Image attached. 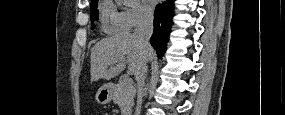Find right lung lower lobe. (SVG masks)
Returning a JSON list of instances; mask_svg holds the SVG:
<instances>
[{
  "label": "right lung lower lobe",
  "instance_id": "1",
  "mask_svg": "<svg viewBox=\"0 0 285 115\" xmlns=\"http://www.w3.org/2000/svg\"><path fill=\"white\" fill-rule=\"evenodd\" d=\"M174 9V0H166L158 4L154 14V33L150 38L151 45L156 50L159 58H162L166 51V43L169 38L170 27Z\"/></svg>",
  "mask_w": 285,
  "mask_h": 115
}]
</instances>
